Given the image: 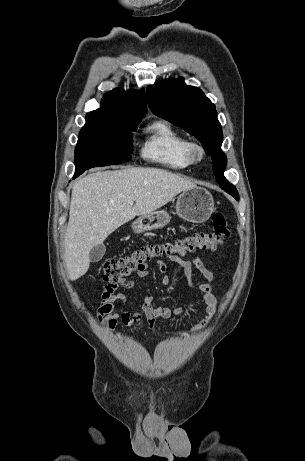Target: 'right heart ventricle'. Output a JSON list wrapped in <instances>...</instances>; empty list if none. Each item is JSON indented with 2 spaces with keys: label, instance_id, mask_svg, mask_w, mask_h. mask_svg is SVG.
<instances>
[{
  "label": "right heart ventricle",
  "instance_id": "e07e8e85",
  "mask_svg": "<svg viewBox=\"0 0 305 461\" xmlns=\"http://www.w3.org/2000/svg\"><path fill=\"white\" fill-rule=\"evenodd\" d=\"M147 132L141 150L145 158L174 170L184 169L192 163L188 154L189 139L169 123L156 121Z\"/></svg>",
  "mask_w": 305,
  "mask_h": 461
}]
</instances>
